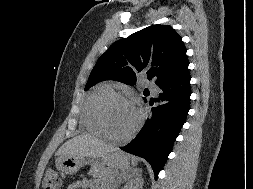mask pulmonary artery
<instances>
[{
	"mask_svg": "<svg viewBox=\"0 0 253 189\" xmlns=\"http://www.w3.org/2000/svg\"><path fill=\"white\" fill-rule=\"evenodd\" d=\"M148 86H149L150 88H154V87H155L153 83H148Z\"/></svg>",
	"mask_w": 253,
	"mask_h": 189,
	"instance_id": "1",
	"label": "pulmonary artery"
}]
</instances>
